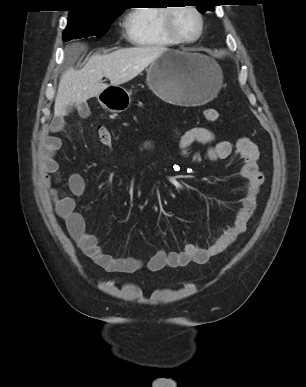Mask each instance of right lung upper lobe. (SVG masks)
Masks as SVG:
<instances>
[{
    "label": "right lung upper lobe",
    "mask_w": 306,
    "mask_h": 387,
    "mask_svg": "<svg viewBox=\"0 0 306 387\" xmlns=\"http://www.w3.org/2000/svg\"><path fill=\"white\" fill-rule=\"evenodd\" d=\"M121 0H74L69 16H99L123 11Z\"/></svg>",
    "instance_id": "right-lung-upper-lobe-1"
}]
</instances>
